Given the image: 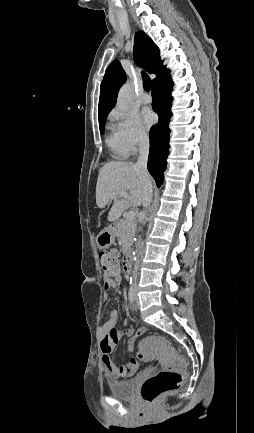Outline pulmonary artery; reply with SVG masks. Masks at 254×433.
<instances>
[{"label":"pulmonary artery","instance_id":"e3ab8cb5","mask_svg":"<svg viewBox=\"0 0 254 433\" xmlns=\"http://www.w3.org/2000/svg\"><path fill=\"white\" fill-rule=\"evenodd\" d=\"M142 104H149L151 102V97L147 93H143L140 97Z\"/></svg>","mask_w":254,"mask_h":433}]
</instances>
